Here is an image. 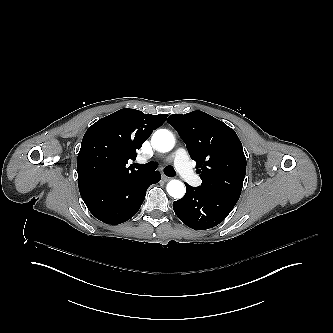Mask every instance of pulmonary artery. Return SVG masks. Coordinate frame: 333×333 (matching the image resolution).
Masks as SVG:
<instances>
[{"label": "pulmonary artery", "mask_w": 333, "mask_h": 333, "mask_svg": "<svg viewBox=\"0 0 333 333\" xmlns=\"http://www.w3.org/2000/svg\"><path fill=\"white\" fill-rule=\"evenodd\" d=\"M172 154L168 156L167 160H172ZM176 167L175 172L182 175V179L187 183H192L194 186L201 184V179L196 177L191 168L187 165L188 151L185 148H180L175 155Z\"/></svg>", "instance_id": "1"}]
</instances>
